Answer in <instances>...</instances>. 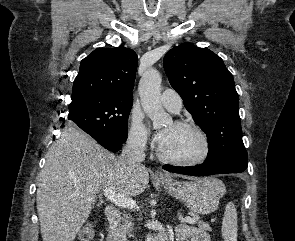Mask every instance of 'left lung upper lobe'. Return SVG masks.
<instances>
[{"label": "left lung upper lobe", "instance_id": "5c2ea615", "mask_svg": "<svg viewBox=\"0 0 295 241\" xmlns=\"http://www.w3.org/2000/svg\"><path fill=\"white\" fill-rule=\"evenodd\" d=\"M163 64L171 86L207 135L209 152L205 162L247 167L239 97L222 59L207 48L184 43L172 48Z\"/></svg>", "mask_w": 295, "mask_h": 241}]
</instances>
